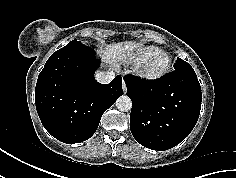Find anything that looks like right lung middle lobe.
<instances>
[{
    "mask_svg": "<svg viewBox=\"0 0 236 178\" xmlns=\"http://www.w3.org/2000/svg\"><path fill=\"white\" fill-rule=\"evenodd\" d=\"M79 46H84L80 43V41H77L76 39L71 41L69 44H67L66 46H64L63 48L57 50V51H63V50H67V49H71V48H74V47H79ZM87 47V46H85ZM90 48V47H88ZM56 51V52H57Z\"/></svg>",
    "mask_w": 236,
    "mask_h": 178,
    "instance_id": "obj_1",
    "label": "right lung middle lobe"
}]
</instances>
